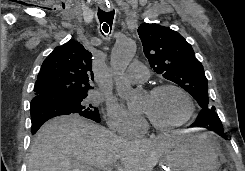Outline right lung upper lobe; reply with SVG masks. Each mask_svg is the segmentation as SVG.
<instances>
[{
  "label": "right lung upper lobe",
  "instance_id": "1",
  "mask_svg": "<svg viewBox=\"0 0 245 171\" xmlns=\"http://www.w3.org/2000/svg\"><path fill=\"white\" fill-rule=\"evenodd\" d=\"M92 55L79 42L71 39L56 47L42 63L32 101L54 95H82L92 89Z\"/></svg>",
  "mask_w": 245,
  "mask_h": 171
}]
</instances>
